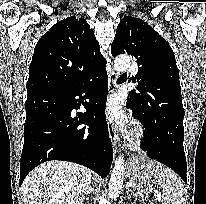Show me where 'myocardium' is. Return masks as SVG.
<instances>
[{
  "label": "myocardium",
  "instance_id": "1",
  "mask_svg": "<svg viewBox=\"0 0 206 204\" xmlns=\"http://www.w3.org/2000/svg\"><path fill=\"white\" fill-rule=\"evenodd\" d=\"M146 141V132L142 125H137L133 133L131 142L135 148H139Z\"/></svg>",
  "mask_w": 206,
  "mask_h": 204
}]
</instances>
